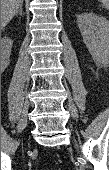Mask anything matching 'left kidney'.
Here are the masks:
<instances>
[{
  "instance_id": "1",
  "label": "left kidney",
  "mask_w": 109,
  "mask_h": 170,
  "mask_svg": "<svg viewBox=\"0 0 109 170\" xmlns=\"http://www.w3.org/2000/svg\"><path fill=\"white\" fill-rule=\"evenodd\" d=\"M77 24L89 53L97 64L106 65L109 60V21L93 13L77 16Z\"/></svg>"
}]
</instances>
